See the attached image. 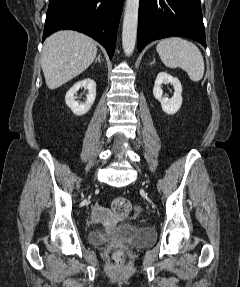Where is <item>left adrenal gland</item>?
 Masks as SVG:
<instances>
[{
	"label": "left adrenal gland",
	"instance_id": "1",
	"mask_svg": "<svg viewBox=\"0 0 240 287\" xmlns=\"http://www.w3.org/2000/svg\"><path fill=\"white\" fill-rule=\"evenodd\" d=\"M155 61H156V59L154 58V59H153V61L151 62V65H152V64H154V63H155Z\"/></svg>",
	"mask_w": 240,
	"mask_h": 287
}]
</instances>
